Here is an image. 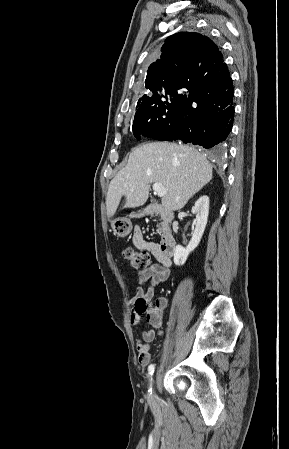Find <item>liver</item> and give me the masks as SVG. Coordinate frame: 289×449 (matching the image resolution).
Returning <instances> with one entry per match:
<instances>
[{
  "instance_id": "liver-1",
  "label": "liver",
  "mask_w": 289,
  "mask_h": 449,
  "mask_svg": "<svg viewBox=\"0 0 289 449\" xmlns=\"http://www.w3.org/2000/svg\"><path fill=\"white\" fill-rule=\"evenodd\" d=\"M212 175V165L194 147L168 142L143 144L132 151L125 168L111 180L107 215L113 217L123 196L124 208L145 204L152 183H161L168 190L161 201L165 209L180 210Z\"/></svg>"
}]
</instances>
